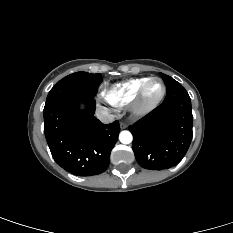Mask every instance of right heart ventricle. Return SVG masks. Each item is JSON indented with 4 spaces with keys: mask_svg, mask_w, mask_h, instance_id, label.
<instances>
[{
    "mask_svg": "<svg viewBox=\"0 0 233 233\" xmlns=\"http://www.w3.org/2000/svg\"><path fill=\"white\" fill-rule=\"evenodd\" d=\"M149 77L130 79L111 86L105 93V99L113 106L121 107L130 104L140 87Z\"/></svg>",
    "mask_w": 233,
    "mask_h": 233,
    "instance_id": "right-heart-ventricle-1",
    "label": "right heart ventricle"
}]
</instances>
